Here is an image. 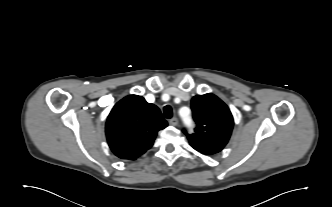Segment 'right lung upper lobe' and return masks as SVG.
<instances>
[{"label": "right lung upper lobe", "mask_w": 332, "mask_h": 207, "mask_svg": "<svg viewBox=\"0 0 332 207\" xmlns=\"http://www.w3.org/2000/svg\"><path fill=\"white\" fill-rule=\"evenodd\" d=\"M167 126L159 108L142 96L129 95L120 100L106 121L110 149L121 158L135 160L151 148L157 132Z\"/></svg>", "instance_id": "right-lung-upper-lobe-1"}]
</instances>
